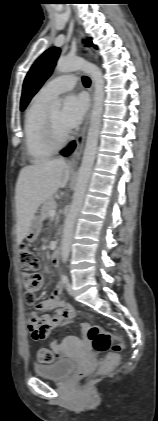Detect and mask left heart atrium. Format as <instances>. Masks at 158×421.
<instances>
[{
	"label": "left heart atrium",
	"instance_id": "39dd6f15",
	"mask_svg": "<svg viewBox=\"0 0 158 421\" xmlns=\"http://www.w3.org/2000/svg\"><path fill=\"white\" fill-rule=\"evenodd\" d=\"M86 109L87 102L84 96L71 94L65 98L61 111V124L67 132L81 123Z\"/></svg>",
	"mask_w": 158,
	"mask_h": 421
}]
</instances>
